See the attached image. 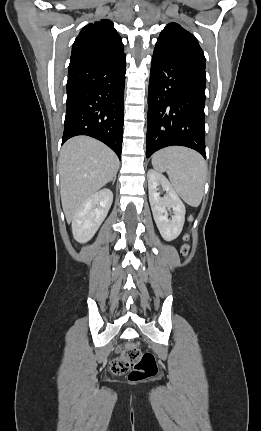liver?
I'll return each mask as SVG.
<instances>
[{
    "mask_svg": "<svg viewBox=\"0 0 261 431\" xmlns=\"http://www.w3.org/2000/svg\"><path fill=\"white\" fill-rule=\"evenodd\" d=\"M119 160L102 142L77 136L62 147L59 158L61 202L67 222L79 207L117 174Z\"/></svg>",
    "mask_w": 261,
    "mask_h": 431,
    "instance_id": "1",
    "label": "liver"
}]
</instances>
